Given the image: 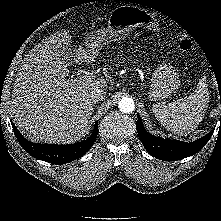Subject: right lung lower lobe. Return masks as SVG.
<instances>
[{
    "label": "right lung lower lobe",
    "instance_id": "obj_1",
    "mask_svg": "<svg viewBox=\"0 0 221 221\" xmlns=\"http://www.w3.org/2000/svg\"><path fill=\"white\" fill-rule=\"evenodd\" d=\"M12 127L20 145L31 156L52 164H65L80 158L91 148L98 131V124L96 122L91 136L86 140L70 145H55L30 142L21 135L13 123Z\"/></svg>",
    "mask_w": 221,
    "mask_h": 221
}]
</instances>
